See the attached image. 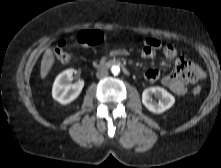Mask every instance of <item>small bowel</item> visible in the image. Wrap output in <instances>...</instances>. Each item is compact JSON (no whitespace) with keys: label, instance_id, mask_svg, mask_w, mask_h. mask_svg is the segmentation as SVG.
Here are the masks:
<instances>
[{"label":"small bowel","instance_id":"small-bowel-1","mask_svg":"<svg viewBox=\"0 0 221 168\" xmlns=\"http://www.w3.org/2000/svg\"><path fill=\"white\" fill-rule=\"evenodd\" d=\"M156 49H151L144 46L142 50V56L147 59H151L155 56ZM164 56L170 60L175 61L176 69L161 77L160 71L156 68L148 69L145 72V78L149 81L161 80V83L169 88L176 95H184L187 92V84L194 83L204 77L203 71L196 64L190 63L184 58H177V51L171 44L166 45L163 48ZM109 55L126 56L128 51L125 49H113L109 52Z\"/></svg>","mask_w":221,"mask_h":168}]
</instances>
